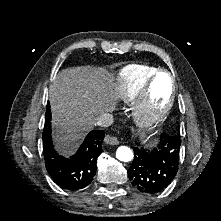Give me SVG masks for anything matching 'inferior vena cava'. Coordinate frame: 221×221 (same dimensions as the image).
Segmentation results:
<instances>
[{"label":"inferior vena cava","instance_id":"602c4592","mask_svg":"<svg viewBox=\"0 0 221 221\" xmlns=\"http://www.w3.org/2000/svg\"><path fill=\"white\" fill-rule=\"evenodd\" d=\"M113 115L110 113H103L101 114L96 121V125L102 127H108L113 124Z\"/></svg>","mask_w":221,"mask_h":221}]
</instances>
